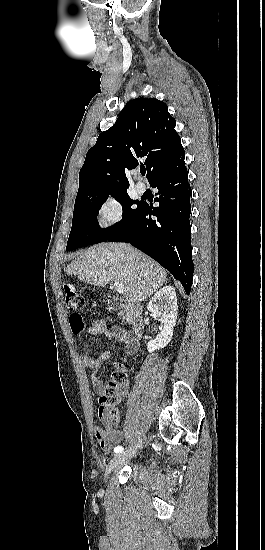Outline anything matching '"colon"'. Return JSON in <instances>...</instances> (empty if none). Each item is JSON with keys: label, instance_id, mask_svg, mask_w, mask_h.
<instances>
[{"label": "colon", "instance_id": "obj_1", "mask_svg": "<svg viewBox=\"0 0 265 550\" xmlns=\"http://www.w3.org/2000/svg\"><path fill=\"white\" fill-rule=\"evenodd\" d=\"M63 289L67 308L71 311L69 318L71 328L74 334H78L85 327V321L81 314L86 305L85 296L76 285L70 282L65 283ZM127 383L128 376L121 365H118L100 398V410L105 414L108 422H118L117 406L124 397Z\"/></svg>", "mask_w": 265, "mask_h": 550}]
</instances>
